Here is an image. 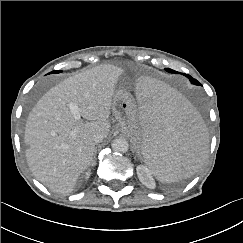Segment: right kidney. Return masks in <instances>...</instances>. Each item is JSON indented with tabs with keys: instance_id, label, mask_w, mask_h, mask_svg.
<instances>
[{
	"instance_id": "ca27d5eb",
	"label": "right kidney",
	"mask_w": 243,
	"mask_h": 243,
	"mask_svg": "<svg viewBox=\"0 0 243 243\" xmlns=\"http://www.w3.org/2000/svg\"><path fill=\"white\" fill-rule=\"evenodd\" d=\"M91 175V172L88 170L87 172H85V175H84V179L87 180Z\"/></svg>"
}]
</instances>
